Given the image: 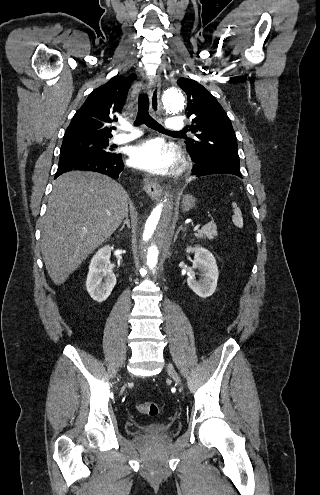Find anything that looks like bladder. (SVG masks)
<instances>
[{"instance_id": "1", "label": "bladder", "mask_w": 320, "mask_h": 495, "mask_svg": "<svg viewBox=\"0 0 320 495\" xmlns=\"http://www.w3.org/2000/svg\"><path fill=\"white\" fill-rule=\"evenodd\" d=\"M169 425L162 422L148 423L140 426V431L146 434H160L169 431Z\"/></svg>"}]
</instances>
